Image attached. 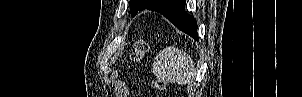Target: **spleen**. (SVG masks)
Listing matches in <instances>:
<instances>
[{"instance_id": "spleen-1", "label": "spleen", "mask_w": 302, "mask_h": 97, "mask_svg": "<svg viewBox=\"0 0 302 97\" xmlns=\"http://www.w3.org/2000/svg\"><path fill=\"white\" fill-rule=\"evenodd\" d=\"M153 72L158 80L184 84L194 77V62L185 51L168 47L157 55Z\"/></svg>"}]
</instances>
